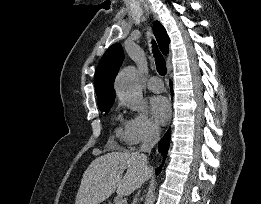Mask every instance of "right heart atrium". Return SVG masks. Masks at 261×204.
I'll return each mask as SVG.
<instances>
[{"instance_id": "obj_1", "label": "right heart atrium", "mask_w": 261, "mask_h": 204, "mask_svg": "<svg viewBox=\"0 0 261 204\" xmlns=\"http://www.w3.org/2000/svg\"><path fill=\"white\" fill-rule=\"evenodd\" d=\"M124 134L128 145L137 146L154 140L159 127L145 111H139L126 122Z\"/></svg>"}]
</instances>
